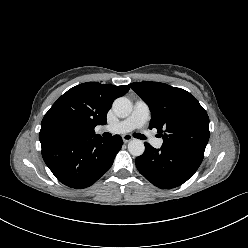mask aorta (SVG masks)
<instances>
[{"label":"aorta","mask_w":248,"mask_h":248,"mask_svg":"<svg viewBox=\"0 0 248 248\" xmlns=\"http://www.w3.org/2000/svg\"><path fill=\"white\" fill-rule=\"evenodd\" d=\"M114 113L120 117H128L132 112V103L126 97H119L115 99L112 105ZM145 146L144 143L139 139H133L128 143V151L133 156H140L144 153Z\"/></svg>","instance_id":"762f6f07"}]
</instances>
